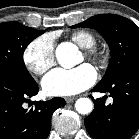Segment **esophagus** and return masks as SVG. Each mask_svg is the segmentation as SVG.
Listing matches in <instances>:
<instances>
[{
	"mask_svg": "<svg viewBox=\"0 0 139 139\" xmlns=\"http://www.w3.org/2000/svg\"><path fill=\"white\" fill-rule=\"evenodd\" d=\"M75 99H76V97H66V98H65V101H66L67 103H71V102H73Z\"/></svg>",
	"mask_w": 139,
	"mask_h": 139,
	"instance_id": "esophagus-1",
	"label": "esophagus"
}]
</instances>
